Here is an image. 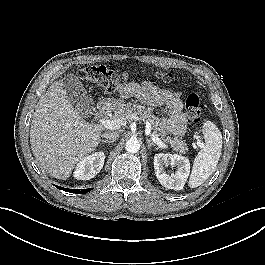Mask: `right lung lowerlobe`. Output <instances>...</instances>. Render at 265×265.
<instances>
[{"label": "right lung lower lobe", "mask_w": 265, "mask_h": 265, "mask_svg": "<svg viewBox=\"0 0 265 265\" xmlns=\"http://www.w3.org/2000/svg\"><path fill=\"white\" fill-rule=\"evenodd\" d=\"M56 187L66 192L78 193V194H84V193L91 191V189H68V188H63V187H58V186Z\"/></svg>", "instance_id": "obj_1"}]
</instances>
